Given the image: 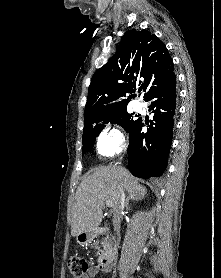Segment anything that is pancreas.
I'll return each mask as SVG.
<instances>
[{
	"mask_svg": "<svg viewBox=\"0 0 221 278\" xmlns=\"http://www.w3.org/2000/svg\"><path fill=\"white\" fill-rule=\"evenodd\" d=\"M97 244H98V242H97ZM101 244H102V246H103L104 248H107V247L109 246V243H108L107 241H106V242H105V241H101ZM96 248L99 249L98 246H97ZM99 252H100V250H99L98 253H97L98 255H99Z\"/></svg>",
	"mask_w": 221,
	"mask_h": 278,
	"instance_id": "pancreas-1",
	"label": "pancreas"
}]
</instances>
